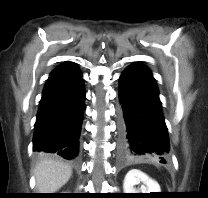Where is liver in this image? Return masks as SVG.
Here are the masks:
<instances>
[{"mask_svg": "<svg viewBox=\"0 0 208 198\" xmlns=\"http://www.w3.org/2000/svg\"><path fill=\"white\" fill-rule=\"evenodd\" d=\"M71 175L69 164L53 159L42 160L34 169L36 188L41 193H54L67 183Z\"/></svg>", "mask_w": 208, "mask_h": 198, "instance_id": "1", "label": "liver"}]
</instances>
